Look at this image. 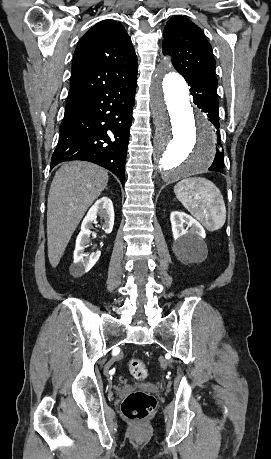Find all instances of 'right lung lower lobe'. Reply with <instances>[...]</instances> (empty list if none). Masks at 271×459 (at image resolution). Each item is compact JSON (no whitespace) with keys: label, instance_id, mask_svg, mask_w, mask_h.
Masks as SVG:
<instances>
[{"label":"right lung lower lobe","instance_id":"right-lung-lower-lobe-1","mask_svg":"<svg viewBox=\"0 0 271 459\" xmlns=\"http://www.w3.org/2000/svg\"><path fill=\"white\" fill-rule=\"evenodd\" d=\"M136 86L137 75L66 110L50 170L64 161L84 160L110 170L124 184Z\"/></svg>","mask_w":271,"mask_h":459}]
</instances>
